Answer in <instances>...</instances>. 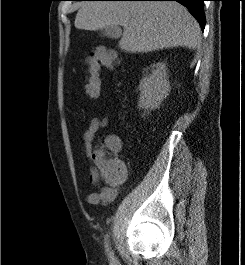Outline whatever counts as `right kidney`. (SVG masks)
<instances>
[{"instance_id": "1", "label": "right kidney", "mask_w": 245, "mask_h": 265, "mask_svg": "<svg viewBox=\"0 0 245 265\" xmlns=\"http://www.w3.org/2000/svg\"><path fill=\"white\" fill-rule=\"evenodd\" d=\"M139 90V108L145 112L158 108L170 91L166 64L159 62L154 65L152 74L141 80Z\"/></svg>"}]
</instances>
